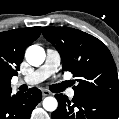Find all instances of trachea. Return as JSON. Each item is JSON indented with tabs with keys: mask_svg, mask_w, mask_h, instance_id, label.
Returning a JSON list of instances; mask_svg holds the SVG:
<instances>
[{
	"mask_svg": "<svg viewBox=\"0 0 119 119\" xmlns=\"http://www.w3.org/2000/svg\"><path fill=\"white\" fill-rule=\"evenodd\" d=\"M65 87H66V85L64 83L57 84V85H53L52 88H51V90L53 92H56L57 93V92L63 91Z\"/></svg>",
	"mask_w": 119,
	"mask_h": 119,
	"instance_id": "1",
	"label": "trachea"
}]
</instances>
